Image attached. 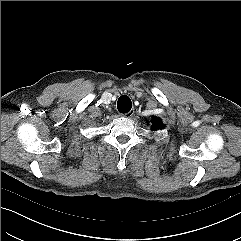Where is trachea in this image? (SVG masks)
I'll return each mask as SVG.
<instances>
[{
    "mask_svg": "<svg viewBox=\"0 0 241 241\" xmlns=\"http://www.w3.org/2000/svg\"><path fill=\"white\" fill-rule=\"evenodd\" d=\"M117 108L121 113L129 112L132 108V103L130 98L126 95L119 97L117 102Z\"/></svg>",
    "mask_w": 241,
    "mask_h": 241,
    "instance_id": "3493384b",
    "label": "trachea"
}]
</instances>
